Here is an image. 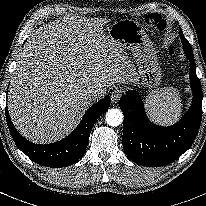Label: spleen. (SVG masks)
Segmentation results:
<instances>
[{"mask_svg":"<svg viewBox=\"0 0 206 206\" xmlns=\"http://www.w3.org/2000/svg\"><path fill=\"white\" fill-rule=\"evenodd\" d=\"M145 103L149 116L156 123L171 124L181 116V98L173 87L153 91Z\"/></svg>","mask_w":206,"mask_h":206,"instance_id":"3e777b00","label":"spleen"}]
</instances>
